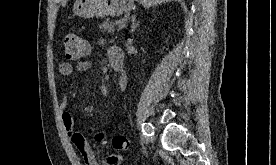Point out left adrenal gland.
Wrapping results in <instances>:
<instances>
[{"label": "left adrenal gland", "mask_w": 276, "mask_h": 165, "mask_svg": "<svg viewBox=\"0 0 276 165\" xmlns=\"http://www.w3.org/2000/svg\"><path fill=\"white\" fill-rule=\"evenodd\" d=\"M131 22H132V25H131L130 32H134L136 30V28L139 26V22H136V15H133L131 17Z\"/></svg>", "instance_id": "a2214340"}]
</instances>
